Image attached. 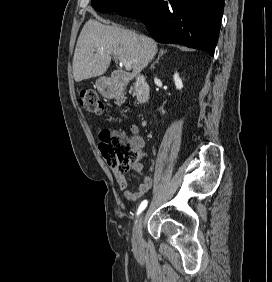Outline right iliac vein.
Segmentation results:
<instances>
[{"label":"right iliac vein","instance_id":"63e3f726","mask_svg":"<svg viewBox=\"0 0 272 282\" xmlns=\"http://www.w3.org/2000/svg\"><path fill=\"white\" fill-rule=\"evenodd\" d=\"M144 217H145V213L143 212L139 216V218H138V220H137V222H136V224L133 228V244H134L135 247H137L139 245L140 241H141Z\"/></svg>","mask_w":272,"mask_h":282}]
</instances>
